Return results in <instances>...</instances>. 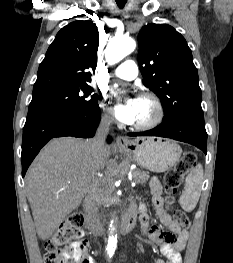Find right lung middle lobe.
<instances>
[{
	"label": "right lung middle lobe",
	"instance_id": "obj_1",
	"mask_svg": "<svg viewBox=\"0 0 233 263\" xmlns=\"http://www.w3.org/2000/svg\"><path fill=\"white\" fill-rule=\"evenodd\" d=\"M92 92V87L82 84L32 95L26 123L89 110L95 107L98 101L96 95H90Z\"/></svg>",
	"mask_w": 233,
	"mask_h": 263
}]
</instances>
